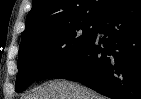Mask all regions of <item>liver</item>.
<instances>
[{"instance_id":"6515ba94","label":"liver","mask_w":141,"mask_h":99,"mask_svg":"<svg viewBox=\"0 0 141 99\" xmlns=\"http://www.w3.org/2000/svg\"><path fill=\"white\" fill-rule=\"evenodd\" d=\"M26 99H106L95 91L76 82L54 80L38 87Z\"/></svg>"}]
</instances>
